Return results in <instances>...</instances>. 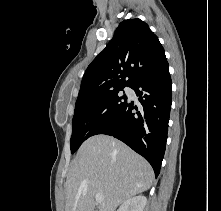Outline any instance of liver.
<instances>
[{
    "mask_svg": "<svg viewBox=\"0 0 221 211\" xmlns=\"http://www.w3.org/2000/svg\"><path fill=\"white\" fill-rule=\"evenodd\" d=\"M153 181L143 157L113 137L93 136L79 148L67 176L65 211H94L96 194L104 197L98 211H115Z\"/></svg>",
    "mask_w": 221,
    "mask_h": 211,
    "instance_id": "liver-1",
    "label": "liver"
}]
</instances>
